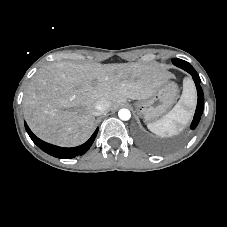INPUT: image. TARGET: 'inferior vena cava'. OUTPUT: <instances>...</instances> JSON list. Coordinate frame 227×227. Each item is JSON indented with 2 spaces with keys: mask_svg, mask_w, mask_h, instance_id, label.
Returning <instances> with one entry per match:
<instances>
[{
  "mask_svg": "<svg viewBox=\"0 0 227 227\" xmlns=\"http://www.w3.org/2000/svg\"><path fill=\"white\" fill-rule=\"evenodd\" d=\"M109 107H110V102L107 99L102 98L100 100H97L94 104L93 114L95 116H99L101 114H104L107 111H109Z\"/></svg>",
  "mask_w": 227,
  "mask_h": 227,
  "instance_id": "1",
  "label": "inferior vena cava"
}]
</instances>
